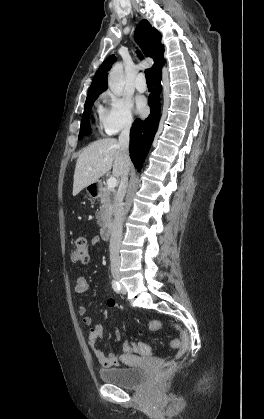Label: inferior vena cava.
Instances as JSON below:
<instances>
[{"mask_svg": "<svg viewBox=\"0 0 264 419\" xmlns=\"http://www.w3.org/2000/svg\"><path fill=\"white\" fill-rule=\"evenodd\" d=\"M132 121H128L120 136H119V145L123 153V158L127 161L129 160V138H130V128ZM128 173L129 169L126 167L122 176L121 183L118 190L117 198L114 206V220L111 229V238H110V261H111V271L116 272L120 267V257L119 249L122 240V231H123V217H124V207L123 199L126 193V188L128 185Z\"/></svg>", "mask_w": 264, "mask_h": 419, "instance_id": "602c4592", "label": "inferior vena cava"}]
</instances>
